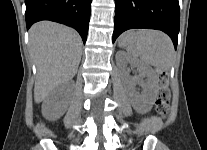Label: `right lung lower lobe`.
Returning a JSON list of instances; mask_svg holds the SVG:
<instances>
[{
  "mask_svg": "<svg viewBox=\"0 0 207 150\" xmlns=\"http://www.w3.org/2000/svg\"><path fill=\"white\" fill-rule=\"evenodd\" d=\"M92 0H25L27 29L51 20L75 28L86 42Z\"/></svg>",
  "mask_w": 207,
  "mask_h": 150,
  "instance_id": "98d812e1",
  "label": "right lung lower lobe"
}]
</instances>
